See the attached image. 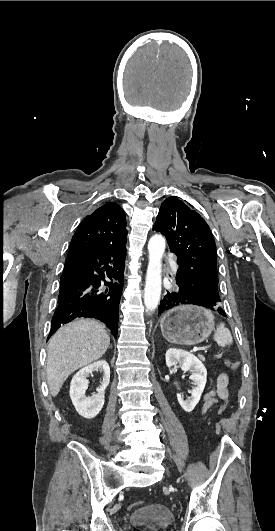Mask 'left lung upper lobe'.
<instances>
[{
    "instance_id": "5c2ea615",
    "label": "left lung upper lobe",
    "mask_w": 275,
    "mask_h": 531,
    "mask_svg": "<svg viewBox=\"0 0 275 531\" xmlns=\"http://www.w3.org/2000/svg\"><path fill=\"white\" fill-rule=\"evenodd\" d=\"M153 230L166 237L177 256V290L197 305L216 306L220 302L216 246L206 221L172 196L162 203Z\"/></svg>"
}]
</instances>
